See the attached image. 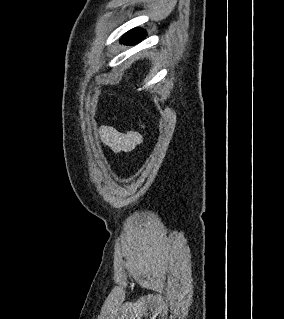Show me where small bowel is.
Segmentation results:
<instances>
[{"instance_id": "small-bowel-1", "label": "small bowel", "mask_w": 284, "mask_h": 319, "mask_svg": "<svg viewBox=\"0 0 284 319\" xmlns=\"http://www.w3.org/2000/svg\"><path fill=\"white\" fill-rule=\"evenodd\" d=\"M104 145L114 152H129L142 142L137 131H121L112 126H103L100 130Z\"/></svg>"}]
</instances>
